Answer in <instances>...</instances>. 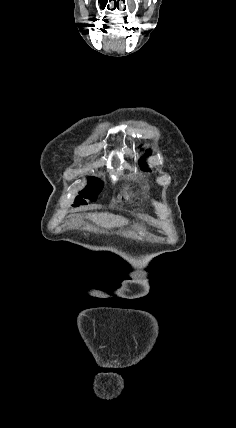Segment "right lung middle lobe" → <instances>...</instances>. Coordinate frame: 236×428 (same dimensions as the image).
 I'll return each instance as SVG.
<instances>
[{
	"instance_id": "dd1d6c3e",
	"label": "right lung middle lobe",
	"mask_w": 236,
	"mask_h": 428,
	"mask_svg": "<svg viewBox=\"0 0 236 428\" xmlns=\"http://www.w3.org/2000/svg\"><path fill=\"white\" fill-rule=\"evenodd\" d=\"M103 182L100 179L97 178H90L88 185L85 189H83L79 194L81 196H77L75 198V204L72 205L73 207H77L79 205H86L87 202L85 199H89L91 201H95L98 194L102 190Z\"/></svg>"
}]
</instances>
